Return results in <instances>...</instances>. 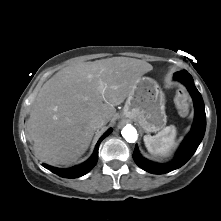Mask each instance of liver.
Instances as JSON below:
<instances>
[{
  "label": "liver",
  "instance_id": "1",
  "mask_svg": "<svg viewBox=\"0 0 221 221\" xmlns=\"http://www.w3.org/2000/svg\"><path fill=\"white\" fill-rule=\"evenodd\" d=\"M152 69L139 59L112 57L57 72L31 105L26 130L36 156L51 165L76 162L96 131L91 120H112L115 106L124 102L141 76Z\"/></svg>",
  "mask_w": 221,
  "mask_h": 221
}]
</instances>
